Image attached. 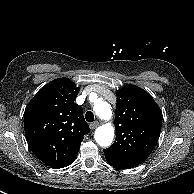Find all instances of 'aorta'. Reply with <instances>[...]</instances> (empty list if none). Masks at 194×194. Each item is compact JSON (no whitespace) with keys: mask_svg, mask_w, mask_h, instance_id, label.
<instances>
[{"mask_svg":"<svg viewBox=\"0 0 194 194\" xmlns=\"http://www.w3.org/2000/svg\"><path fill=\"white\" fill-rule=\"evenodd\" d=\"M94 111L102 120L112 118L111 106L105 101H97L94 105ZM94 137L100 146L108 147L114 138V127L110 123L101 125L96 129Z\"/></svg>","mask_w":194,"mask_h":194,"instance_id":"762f6f07","label":"aorta"}]
</instances>
